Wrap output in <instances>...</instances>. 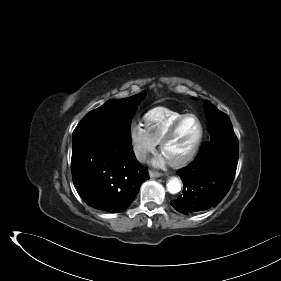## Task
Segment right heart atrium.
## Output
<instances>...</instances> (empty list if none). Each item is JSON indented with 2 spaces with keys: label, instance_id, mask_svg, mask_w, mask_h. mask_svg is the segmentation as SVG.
Returning a JSON list of instances; mask_svg holds the SVG:
<instances>
[{
  "label": "right heart atrium",
  "instance_id": "d8ad5b80",
  "mask_svg": "<svg viewBox=\"0 0 281 281\" xmlns=\"http://www.w3.org/2000/svg\"><path fill=\"white\" fill-rule=\"evenodd\" d=\"M133 152L139 161H144L154 151L156 142L150 137L142 124L134 123L130 129Z\"/></svg>",
  "mask_w": 281,
  "mask_h": 281
}]
</instances>
